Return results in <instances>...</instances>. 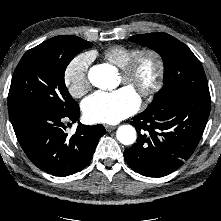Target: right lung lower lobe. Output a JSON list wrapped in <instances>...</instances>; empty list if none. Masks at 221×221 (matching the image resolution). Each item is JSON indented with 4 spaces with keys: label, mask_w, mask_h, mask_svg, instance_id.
<instances>
[{
    "label": "right lung lower lobe",
    "mask_w": 221,
    "mask_h": 221,
    "mask_svg": "<svg viewBox=\"0 0 221 221\" xmlns=\"http://www.w3.org/2000/svg\"><path fill=\"white\" fill-rule=\"evenodd\" d=\"M79 116L78 106L65 113L30 109L10 116V120L27 157L46 173L64 177L84 169L106 132L100 124L79 123L75 134L68 136L64 122H76Z\"/></svg>",
    "instance_id": "1"
}]
</instances>
